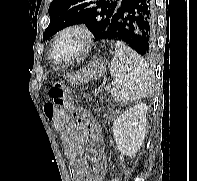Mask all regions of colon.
I'll use <instances>...</instances> for the list:
<instances>
[{"label":"colon","instance_id":"colon-1","mask_svg":"<svg viewBox=\"0 0 197 181\" xmlns=\"http://www.w3.org/2000/svg\"><path fill=\"white\" fill-rule=\"evenodd\" d=\"M49 97L50 101L43 107L44 114L57 130H63L67 125L68 111L72 108L70 96L64 85L56 82L49 89ZM110 181H118V179L112 178Z\"/></svg>","mask_w":197,"mask_h":181}]
</instances>
